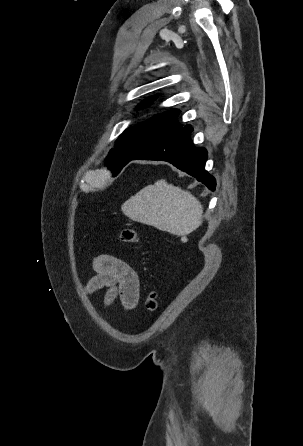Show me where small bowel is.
Segmentation results:
<instances>
[{
    "instance_id": "small-bowel-1",
    "label": "small bowel",
    "mask_w": 303,
    "mask_h": 446,
    "mask_svg": "<svg viewBox=\"0 0 303 446\" xmlns=\"http://www.w3.org/2000/svg\"><path fill=\"white\" fill-rule=\"evenodd\" d=\"M95 275L88 283V290L106 289V302L119 298L125 309H133L139 300L140 283L134 268L112 254H101L92 263Z\"/></svg>"
}]
</instances>
